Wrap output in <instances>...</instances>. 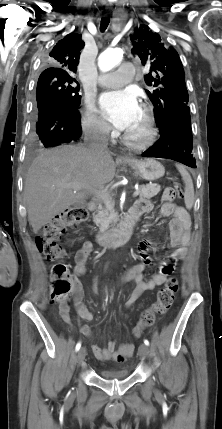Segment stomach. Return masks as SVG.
<instances>
[{"label":"stomach","mask_w":222,"mask_h":429,"mask_svg":"<svg viewBox=\"0 0 222 429\" xmlns=\"http://www.w3.org/2000/svg\"><path fill=\"white\" fill-rule=\"evenodd\" d=\"M128 165L144 180L154 181L161 178L165 173L164 166L154 160H127Z\"/></svg>","instance_id":"0dacf381"}]
</instances>
